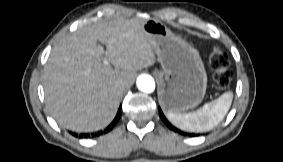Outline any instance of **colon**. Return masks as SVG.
Wrapping results in <instances>:
<instances>
[{
	"instance_id": "obj_1",
	"label": "colon",
	"mask_w": 283,
	"mask_h": 162,
	"mask_svg": "<svg viewBox=\"0 0 283 162\" xmlns=\"http://www.w3.org/2000/svg\"><path fill=\"white\" fill-rule=\"evenodd\" d=\"M211 66L215 70L214 80L220 87H226L231 81L232 72L228 68L226 54L218 46L213 47L211 52Z\"/></svg>"
}]
</instances>
